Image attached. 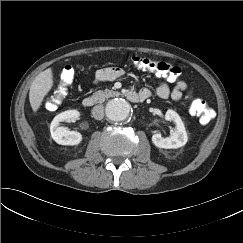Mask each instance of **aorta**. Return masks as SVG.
Segmentation results:
<instances>
[{"mask_svg":"<svg viewBox=\"0 0 243 243\" xmlns=\"http://www.w3.org/2000/svg\"><path fill=\"white\" fill-rule=\"evenodd\" d=\"M130 109V104L126 100L115 98L107 103L105 113L111 121L120 122L129 116Z\"/></svg>","mask_w":243,"mask_h":243,"instance_id":"762f6f07","label":"aorta"}]
</instances>
